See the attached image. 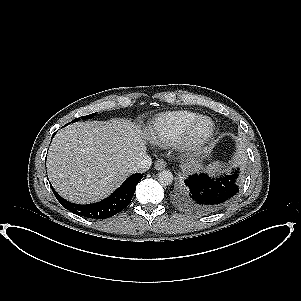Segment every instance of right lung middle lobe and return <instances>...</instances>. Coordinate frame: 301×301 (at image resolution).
I'll return each instance as SVG.
<instances>
[{
    "label": "right lung middle lobe",
    "instance_id": "dd1d6c3e",
    "mask_svg": "<svg viewBox=\"0 0 301 301\" xmlns=\"http://www.w3.org/2000/svg\"><path fill=\"white\" fill-rule=\"evenodd\" d=\"M95 114L96 113H93V114L86 115V116H83V117H80V118L81 119H90V118H93ZM80 118H77V119L73 120L72 122H76V121L80 120Z\"/></svg>",
    "mask_w": 301,
    "mask_h": 301
}]
</instances>
